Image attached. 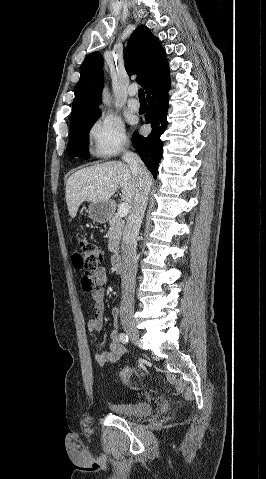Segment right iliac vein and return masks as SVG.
<instances>
[{
  "label": "right iliac vein",
  "instance_id": "1",
  "mask_svg": "<svg viewBox=\"0 0 266 479\" xmlns=\"http://www.w3.org/2000/svg\"><path fill=\"white\" fill-rule=\"evenodd\" d=\"M123 327H124L127 335L129 336V338L131 339V341L135 344H138L140 342L139 332H138L135 324L132 323V322H127V323H123Z\"/></svg>",
  "mask_w": 266,
  "mask_h": 479
}]
</instances>
